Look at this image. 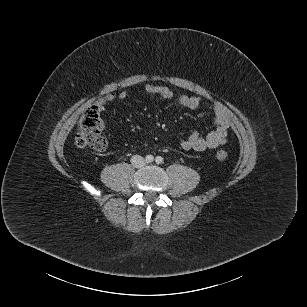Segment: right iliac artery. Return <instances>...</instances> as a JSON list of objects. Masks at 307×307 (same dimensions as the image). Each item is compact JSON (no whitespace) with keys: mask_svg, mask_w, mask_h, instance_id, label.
Wrapping results in <instances>:
<instances>
[{"mask_svg":"<svg viewBox=\"0 0 307 307\" xmlns=\"http://www.w3.org/2000/svg\"><path fill=\"white\" fill-rule=\"evenodd\" d=\"M145 160H146L147 163H151V162H153L154 157H153L152 155H147V156L145 157Z\"/></svg>","mask_w":307,"mask_h":307,"instance_id":"82829eb1","label":"right iliac artery"}]
</instances>
